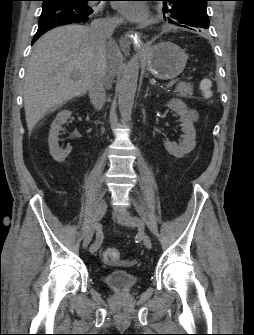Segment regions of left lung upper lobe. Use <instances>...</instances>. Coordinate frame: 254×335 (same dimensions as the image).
Listing matches in <instances>:
<instances>
[{
    "instance_id": "left-lung-upper-lobe-1",
    "label": "left lung upper lobe",
    "mask_w": 254,
    "mask_h": 335,
    "mask_svg": "<svg viewBox=\"0 0 254 335\" xmlns=\"http://www.w3.org/2000/svg\"><path fill=\"white\" fill-rule=\"evenodd\" d=\"M163 1V14L168 13L170 22L186 28L207 29L209 18L206 12L209 0H160Z\"/></svg>"
}]
</instances>
